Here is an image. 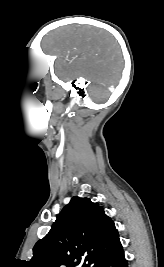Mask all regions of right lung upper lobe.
<instances>
[{
  "label": "right lung upper lobe",
  "instance_id": "right-lung-upper-lobe-1",
  "mask_svg": "<svg viewBox=\"0 0 164 267\" xmlns=\"http://www.w3.org/2000/svg\"><path fill=\"white\" fill-rule=\"evenodd\" d=\"M122 248L114 222L98 203L74 196L49 233L33 248L30 267H94L104 256Z\"/></svg>",
  "mask_w": 164,
  "mask_h": 267
}]
</instances>
